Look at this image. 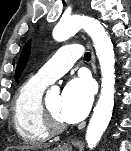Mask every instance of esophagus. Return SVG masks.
Masks as SVG:
<instances>
[{
  "instance_id": "34e87169",
  "label": "esophagus",
  "mask_w": 131,
  "mask_h": 151,
  "mask_svg": "<svg viewBox=\"0 0 131 151\" xmlns=\"http://www.w3.org/2000/svg\"><path fill=\"white\" fill-rule=\"evenodd\" d=\"M92 63H93V69L95 70L96 67H95V56L94 55H92ZM65 147L68 148L69 145H66Z\"/></svg>"
}]
</instances>
